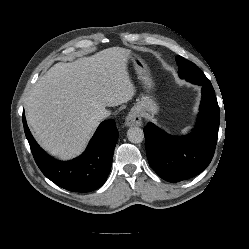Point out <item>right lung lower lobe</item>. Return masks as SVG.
Returning a JSON list of instances; mask_svg holds the SVG:
<instances>
[{
	"instance_id": "right-lung-lower-lobe-1",
	"label": "right lung lower lobe",
	"mask_w": 249,
	"mask_h": 249,
	"mask_svg": "<svg viewBox=\"0 0 249 249\" xmlns=\"http://www.w3.org/2000/svg\"><path fill=\"white\" fill-rule=\"evenodd\" d=\"M23 126L36 164L52 182L74 192H90L104 184L118 139L113 119L102 122L83 154L71 161L56 160L40 148L30 133L24 114Z\"/></svg>"
}]
</instances>
